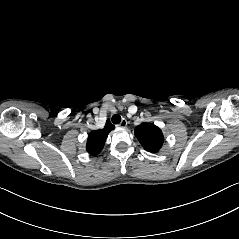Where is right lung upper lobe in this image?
<instances>
[{
    "mask_svg": "<svg viewBox=\"0 0 239 239\" xmlns=\"http://www.w3.org/2000/svg\"><path fill=\"white\" fill-rule=\"evenodd\" d=\"M114 128L115 126L107 120L103 129L91 131L87 139V152L91 155L99 154L104 147L109 132Z\"/></svg>",
    "mask_w": 239,
    "mask_h": 239,
    "instance_id": "obj_1",
    "label": "right lung upper lobe"
}]
</instances>
